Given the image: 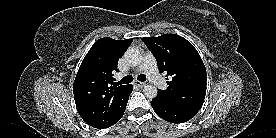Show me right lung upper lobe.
<instances>
[{
	"mask_svg": "<svg viewBox=\"0 0 276 138\" xmlns=\"http://www.w3.org/2000/svg\"><path fill=\"white\" fill-rule=\"evenodd\" d=\"M132 39L97 40L83 59L76 75L73 93L82 119L92 127L114 125L124 114L132 85L117 84L113 73Z\"/></svg>",
	"mask_w": 276,
	"mask_h": 138,
	"instance_id": "cb5924a9",
	"label": "right lung upper lobe"
}]
</instances>
